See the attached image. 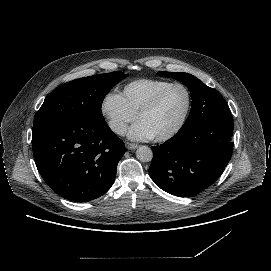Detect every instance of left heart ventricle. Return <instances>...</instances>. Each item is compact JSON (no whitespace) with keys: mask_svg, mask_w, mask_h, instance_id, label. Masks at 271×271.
I'll return each instance as SVG.
<instances>
[{"mask_svg":"<svg viewBox=\"0 0 271 271\" xmlns=\"http://www.w3.org/2000/svg\"><path fill=\"white\" fill-rule=\"evenodd\" d=\"M188 105V95L183 87H174L151 113L141 117L152 137L172 131L182 120Z\"/></svg>","mask_w":271,"mask_h":271,"instance_id":"1","label":"left heart ventricle"}]
</instances>
